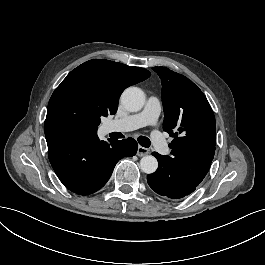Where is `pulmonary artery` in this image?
I'll return each mask as SVG.
<instances>
[{
    "label": "pulmonary artery",
    "mask_w": 265,
    "mask_h": 265,
    "mask_svg": "<svg viewBox=\"0 0 265 265\" xmlns=\"http://www.w3.org/2000/svg\"><path fill=\"white\" fill-rule=\"evenodd\" d=\"M147 107L138 114L129 115L118 120H112L107 124L110 131L123 133L128 130H140L150 127L157 122L160 112V98L156 94H151L147 98Z\"/></svg>",
    "instance_id": "e3ab8cb5"
}]
</instances>
